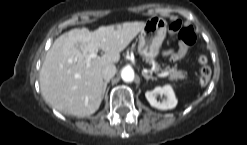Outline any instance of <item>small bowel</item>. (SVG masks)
I'll return each mask as SVG.
<instances>
[{
  "label": "small bowel",
  "mask_w": 247,
  "mask_h": 145,
  "mask_svg": "<svg viewBox=\"0 0 247 145\" xmlns=\"http://www.w3.org/2000/svg\"><path fill=\"white\" fill-rule=\"evenodd\" d=\"M167 56H170L173 60H180L182 59L185 54H186V49L180 47L178 50L173 51V50H167L164 53Z\"/></svg>",
  "instance_id": "obj_1"
}]
</instances>
